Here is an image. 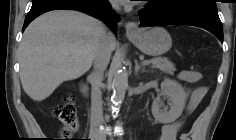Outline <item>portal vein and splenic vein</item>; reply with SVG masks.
<instances>
[{
	"mask_svg": "<svg viewBox=\"0 0 236 140\" xmlns=\"http://www.w3.org/2000/svg\"><path fill=\"white\" fill-rule=\"evenodd\" d=\"M150 63H151L150 60H143V61H142V64H143V65H148V64H150Z\"/></svg>",
	"mask_w": 236,
	"mask_h": 140,
	"instance_id": "portal-vein-and-splenic-vein-1",
	"label": "portal vein and splenic vein"
}]
</instances>
